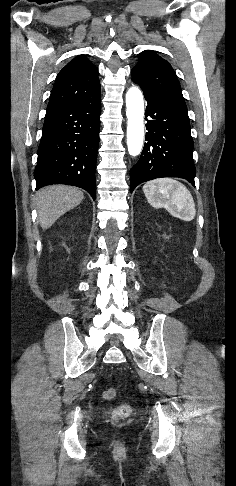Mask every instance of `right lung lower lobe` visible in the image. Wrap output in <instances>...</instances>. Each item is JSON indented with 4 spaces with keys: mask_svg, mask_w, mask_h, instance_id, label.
I'll return each mask as SVG.
<instances>
[{
    "mask_svg": "<svg viewBox=\"0 0 236 486\" xmlns=\"http://www.w3.org/2000/svg\"><path fill=\"white\" fill-rule=\"evenodd\" d=\"M100 113V96L46 111L34 171L36 190L50 184L73 185L95 200Z\"/></svg>",
    "mask_w": 236,
    "mask_h": 486,
    "instance_id": "obj_1",
    "label": "right lung lower lobe"
}]
</instances>
